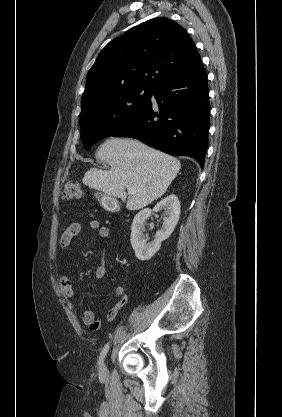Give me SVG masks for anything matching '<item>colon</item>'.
I'll use <instances>...</instances> for the list:
<instances>
[{
	"instance_id": "colon-1",
	"label": "colon",
	"mask_w": 282,
	"mask_h": 417,
	"mask_svg": "<svg viewBox=\"0 0 282 417\" xmlns=\"http://www.w3.org/2000/svg\"><path fill=\"white\" fill-rule=\"evenodd\" d=\"M81 194V187L76 182H67L62 189V196L65 199H77Z\"/></svg>"
}]
</instances>
